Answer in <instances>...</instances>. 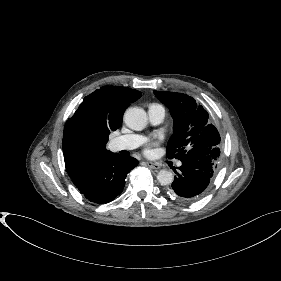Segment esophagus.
<instances>
[{
    "label": "esophagus",
    "mask_w": 281,
    "mask_h": 281,
    "mask_svg": "<svg viewBox=\"0 0 281 281\" xmlns=\"http://www.w3.org/2000/svg\"><path fill=\"white\" fill-rule=\"evenodd\" d=\"M146 165L149 166L152 169H160L161 168V166L159 164L153 163V162H150V161H146Z\"/></svg>",
    "instance_id": "esophagus-1"
}]
</instances>
